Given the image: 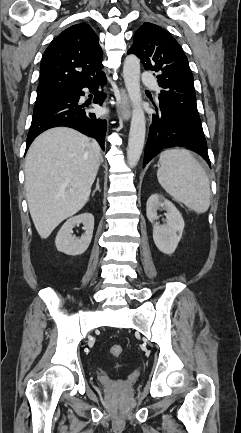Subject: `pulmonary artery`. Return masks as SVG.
<instances>
[{"mask_svg":"<svg viewBox=\"0 0 241 433\" xmlns=\"http://www.w3.org/2000/svg\"><path fill=\"white\" fill-rule=\"evenodd\" d=\"M142 83L146 84V85H151L155 82V78L153 77V75H151L150 73H143L142 75Z\"/></svg>","mask_w":241,"mask_h":433,"instance_id":"obj_1","label":"pulmonary artery"}]
</instances>
